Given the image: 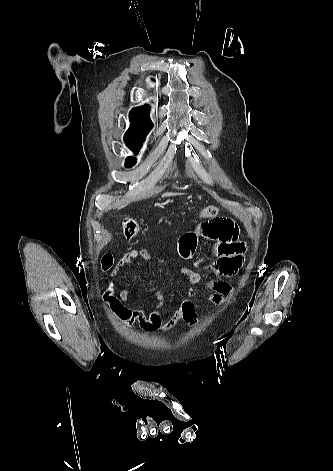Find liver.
<instances>
[{
  "label": "liver",
  "instance_id": "obj_1",
  "mask_svg": "<svg viewBox=\"0 0 333 471\" xmlns=\"http://www.w3.org/2000/svg\"><path fill=\"white\" fill-rule=\"evenodd\" d=\"M173 195H175V194L174 193H164L162 196L167 197V196H173ZM121 207H123V206H121Z\"/></svg>",
  "mask_w": 333,
  "mask_h": 471
}]
</instances>
